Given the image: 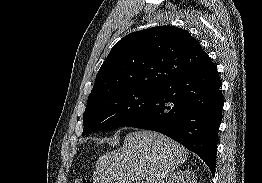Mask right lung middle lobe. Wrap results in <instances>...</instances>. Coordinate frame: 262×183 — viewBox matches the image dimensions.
Segmentation results:
<instances>
[{"label": "right lung middle lobe", "instance_id": "dd1d6c3e", "mask_svg": "<svg viewBox=\"0 0 262 183\" xmlns=\"http://www.w3.org/2000/svg\"><path fill=\"white\" fill-rule=\"evenodd\" d=\"M157 89L130 88L88 100L83 135L126 126L154 100Z\"/></svg>", "mask_w": 262, "mask_h": 183}]
</instances>
